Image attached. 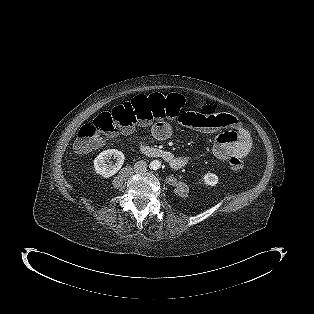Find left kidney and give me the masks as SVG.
I'll return each mask as SVG.
<instances>
[{
	"label": "left kidney",
	"mask_w": 314,
	"mask_h": 314,
	"mask_svg": "<svg viewBox=\"0 0 314 314\" xmlns=\"http://www.w3.org/2000/svg\"><path fill=\"white\" fill-rule=\"evenodd\" d=\"M202 179L204 184L208 186H215L219 180L218 176L214 173H206Z\"/></svg>",
	"instance_id": "left-kidney-1"
}]
</instances>
